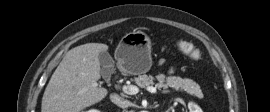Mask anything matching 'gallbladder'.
I'll return each mask as SVG.
<instances>
[{
  "mask_svg": "<svg viewBox=\"0 0 270 112\" xmlns=\"http://www.w3.org/2000/svg\"><path fill=\"white\" fill-rule=\"evenodd\" d=\"M99 61L102 66L101 73L104 78H107L111 75L114 68V61L108 52H101L99 55Z\"/></svg>",
  "mask_w": 270,
  "mask_h": 112,
  "instance_id": "gallbladder-1",
  "label": "gallbladder"
}]
</instances>
